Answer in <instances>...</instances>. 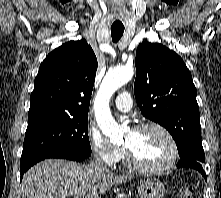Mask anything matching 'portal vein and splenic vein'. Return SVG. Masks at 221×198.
<instances>
[{
    "label": "portal vein and splenic vein",
    "mask_w": 221,
    "mask_h": 198,
    "mask_svg": "<svg viewBox=\"0 0 221 198\" xmlns=\"http://www.w3.org/2000/svg\"><path fill=\"white\" fill-rule=\"evenodd\" d=\"M82 195H77V196H74L73 198H80Z\"/></svg>",
    "instance_id": "portal-vein-and-splenic-vein-1"
}]
</instances>
